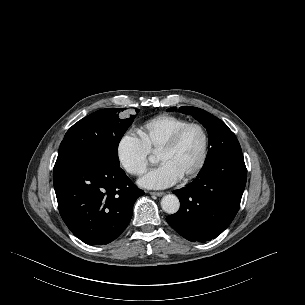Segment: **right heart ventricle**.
I'll return each mask as SVG.
<instances>
[{"instance_id":"right-heart-ventricle-1","label":"right heart ventricle","mask_w":305,"mask_h":305,"mask_svg":"<svg viewBox=\"0 0 305 305\" xmlns=\"http://www.w3.org/2000/svg\"><path fill=\"white\" fill-rule=\"evenodd\" d=\"M189 123L183 117L159 115L145 121L139 128L138 134L152 153H157L169 138L182 126Z\"/></svg>"}]
</instances>
